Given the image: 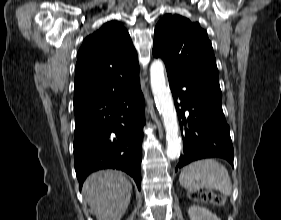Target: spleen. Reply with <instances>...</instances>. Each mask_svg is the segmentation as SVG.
Masks as SVG:
<instances>
[{"instance_id":"spleen-1","label":"spleen","mask_w":281,"mask_h":220,"mask_svg":"<svg viewBox=\"0 0 281 220\" xmlns=\"http://www.w3.org/2000/svg\"><path fill=\"white\" fill-rule=\"evenodd\" d=\"M182 187L189 191L216 189L224 195L232 193L228 170L214 159H202L185 166L179 176Z\"/></svg>"}]
</instances>
